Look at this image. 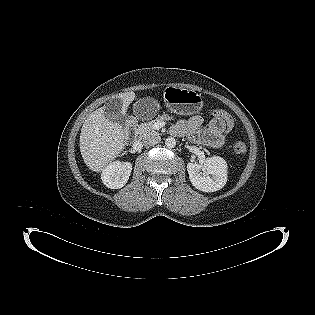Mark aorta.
<instances>
[{"mask_svg": "<svg viewBox=\"0 0 315 315\" xmlns=\"http://www.w3.org/2000/svg\"><path fill=\"white\" fill-rule=\"evenodd\" d=\"M165 145L167 148H174L176 146V140L173 137H168L165 140Z\"/></svg>", "mask_w": 315, "mask_h": 315, "instance_id": "aorta-1", "label": "aorta"}]
</instances>
